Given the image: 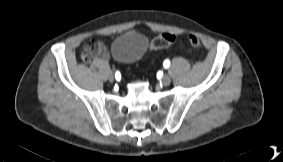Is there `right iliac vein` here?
Listing matches in <instances>:
<instances>
[{
  "label": "right iliac vein",
  "instance_id": "63e3f726",
  "mask_svg": "<svg viewBox=\"0 0 283 162\" xmlns=\"http://www.w3.org/2000/svg\"><path fill=\"white\" fill-rule=\"evenodd\" d=\"M108 79H109L110 82L114 81V74L112 72L109 73Z\"/></svg>",
  "mask_w": 283,
  "mask_h": 162
}]
</instances>
